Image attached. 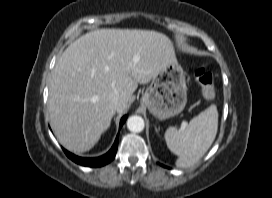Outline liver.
<instances>
[{
  "label": "liver",
  "instance_id": "obj_1",
  "mask_svg": "<svg viewBox=\"0 0 272 198\" xmlns=\"http://www.w3.org/2000/svg\"><path fill=\"white\" fill-rule=\"evenodd\" d=\"M176 61L172 41L153 30L97 29L71 43L55 65L49 86L51 127L67 150H90L116 112L128 108L138 84L149 83ZM118 91L120 101L109 100Z\"/></svg>",
  "mask_w": 272,
  "mask_h": 198
}]
</instances>
